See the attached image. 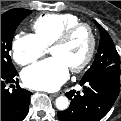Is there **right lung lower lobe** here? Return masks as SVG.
I'll return each instance as SVG.
<instances>
[{
	"label": "right lung lower lobe",
	"instance_id": "98d812e1",
	"mask_svg": "<svg viewBox=\"0 0 121 121\" xmlns=\"http://www.w3.org/2000/svg\"><path fill=\"white\" fill-rule=\"evenodd\" d=\"M17 76L16 70L1 71V121H22L28 113L31 92L19 85L12 91L7 88V84L18 81Z\"/></svg>",
	"mask_w": 121,
	"mask_h": 121
}]
</instances>
